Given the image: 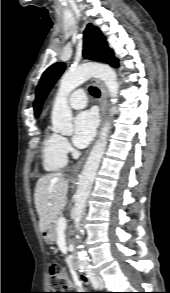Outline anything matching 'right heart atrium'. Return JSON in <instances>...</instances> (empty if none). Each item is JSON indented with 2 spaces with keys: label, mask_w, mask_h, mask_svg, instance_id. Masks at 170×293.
I'll list each match as a JSON object with an SVG mask.
<instances>
[{
  "label": "right heart atrium",
  "mask_w": 170,
  "mask_h": 293,
  "mask_svg": "<svg viewBox=\"0 0 170 293\" xmlns=\"http://www.w3.org/2000/svg\"><path fill=\"white\" fill-rule=\"evenodd\" d=\"M60 147L64 153H68L70 151V145L66 138L60 137Z\"/></svg>",
  "instance_id": "d8ad5b80"
}]
</instances>
